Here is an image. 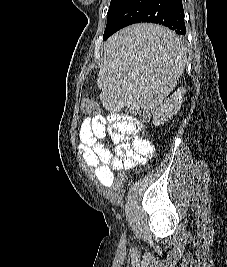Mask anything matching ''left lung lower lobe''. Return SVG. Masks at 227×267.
I'll list each match as a JSON object with an SVG mask.
<instances>
[{
    "mask_svg": "<svg viewBox=\"0 0 227 267\" xmlns=\"http://www.w3.org/2000/svg\"><path fill=\"white\" fill-rule=\"evenodd\" d=\"M141 22H151L164 25L179 35L186 34L182 0H128L118 11L107 18L103 39L118 30ZM133 50H145L161 45H167L164 40L154 38H139L132 44ZM126 47L124 45L125 50Z\"/></svg>",
    "mask_w": 227,
    "mask_h": 267,
    "instance_id": "1",
    "label": "left lung lower lobe"
}]
</instances>
